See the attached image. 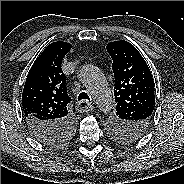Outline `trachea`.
I'll return each mask as SVG.
<instances>
[{"mask_svg": "<svg viewBox=\"0 0 184 184\" xmlns=\"http://www.w3.org/2000/svg\"><path fill=\"white\" fill-rule=\"evenodd\" d=\"M81 100H88V101H90V97H89V95L86 92H81L79 94V96H78V101H81Z\"/></svg>", "mask_w": 184, "mask_h": 184, "instance_id": "1", "label": "trachea"}]
</instances>
